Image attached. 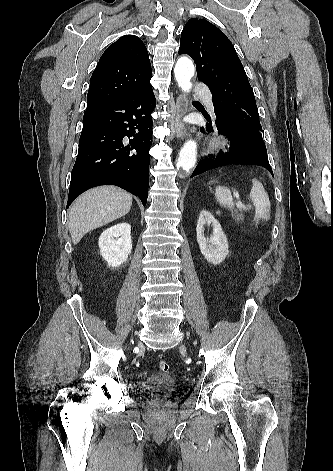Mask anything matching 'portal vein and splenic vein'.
I'll return each instance as SVG.
<instances>
[{
    "instance_id": "18ae733b",
    "label": "portal vein and splenic vein",
    "mask_w": 333,
    "mask_h": 471,
    "mask_svg": "<svg viewBox=\"0 0 333 471\" xmlns=\"http://www.w3.org/2000/svg\"><path fill=\"white\" fill-rule=\"evenodd\" d=\"M236 198H237V200H238V201H237V207L240 208V209H241V208H242V209H246V206L239 200V195H238V194H236Z\"/></svg>"
}]
</instances>
